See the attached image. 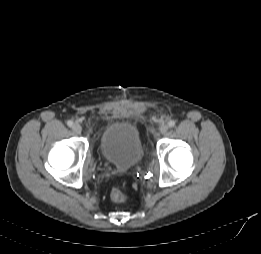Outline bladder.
Instances as JSON below:
<instances>
[{
	"instance_id": "obj_1",
	"label": "bladder",
	"mask_w": 261,
	"mask_h": 254,
	"mask_svg": "<svg viewBox=\"0 0 261 254\" xmlns=\"http://www.w3.org/2000/svg\"><path fill=\"white\" fill-rule=\"evenodd\" d=\"M100 151L104 160L119 170L134 167L144 154L139 130L127 122L109 125L101 135Z\"/></svg>"
}]
</instances>
